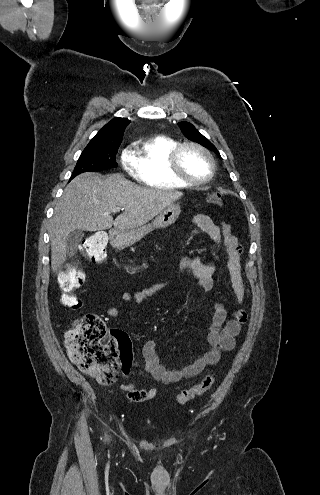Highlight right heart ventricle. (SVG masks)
<instances>
[{"label": "right heart ventricle", "instance_id": "right-heart-ventricle-1", "mask_svg": "<svg viewBox=\"0 0 320 495\" xmlns=\"http://www.w3.org/2000/svg\"><path fill=\"white\" fill-rule=\"evenodd\" d=\"M178 142L167 136H153L140 143L136 152L135 177L152 188L178 189L188 184L176 178L169 166V155Z\"/></svg>", "mask_w": 320, "mask_h": 495}]
</instances>
